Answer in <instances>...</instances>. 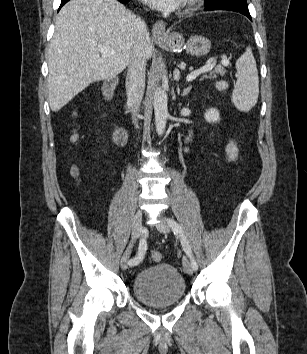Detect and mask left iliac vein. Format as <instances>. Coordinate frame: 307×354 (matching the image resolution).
Here are the masks:
<instances>
[{
  "mask_svg": "<svg viewBox=\"0 0 307 354\" xmlns=\"http://www.w3.org/2000/svg\"><path fill=\"white\" fill-rule=\"evenodd\" d=\"M156 227H157V229H158L161 233H163V234H167V233L170 232V225H169L168 222H165V221H164V222H162V223H158V224L156 225ZM183 267H184V271H185L187 274H189V275H192V274H193V269H192V267H191V264H190L189 260H188L186 257L183 258Z\"/></svg>",
  "mask_w": 307,
  "mask_h": 354,
  "instance_id": "obj_1",
  "label": "left iliac vein"
}]
</instances>
